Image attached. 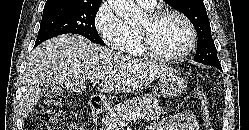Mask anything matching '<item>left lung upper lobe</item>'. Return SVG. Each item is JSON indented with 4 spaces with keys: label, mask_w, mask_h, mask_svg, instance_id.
<instances>
[{
    "label": "left lung upper lobe",
    "mask_w": 249,
    "mask_h": 130,
    "mask_svg": "<svg viewBox=\"0 0 249 130\" xmlns=\"http://www.w3.org/2000/svg\"><path fill=\"white\" fill-rule=\"evenodd\" d=\"M165 2L185 14L194 25L199 41L194 60L214 67L221 66L203 0H165Z\"/></svg>",
    "instance_id": "1"
}]
</instances>
